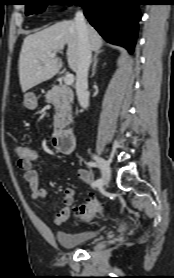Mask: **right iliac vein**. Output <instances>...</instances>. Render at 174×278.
I'll list each match as a JSON object with an SVG mask.
<instances>
[{
	"label": "right iliac vein",
	"mask_w": 174,
	"mask_h": 278,
	"mask_svg": "<svg viewBox=\"0 0 174 278\" xmlns=\"http://www.w3.org/2000/svg\"><path fill=\"white\" fill-rule=\"evenodd\" d=\"M94 159L96 160V162L98 163L100 169H101V173H102V178L105 184H107L110 180V175H111V171H110V166L108 164V162L106 160H104L101 157L98 156H94Z\"/></svg>",
	"instance_id": "right-iliac-vein-1"
}]
</instances>
